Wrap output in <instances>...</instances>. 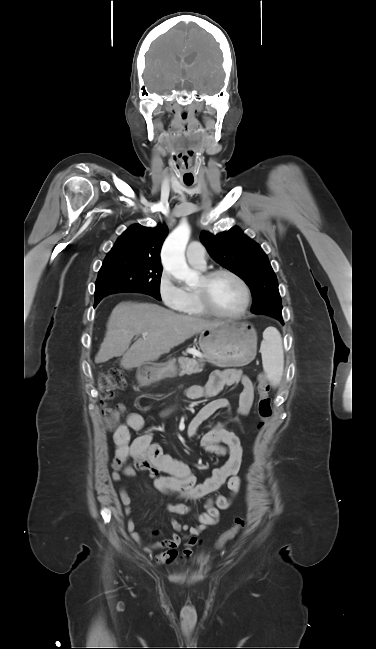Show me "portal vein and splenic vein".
<instances>
[{"mask_svg": "<svg viewBox=\"0 0 376 649\" xmlns=\"http://www.w3.org/2000/svg\"><path fill=\"white\" fill-rule=\"evenodd\" d=\"M146 335H147V333H143V336H146Z\"/></svg>", "mask_w": 376, "mask_h": 649, "instance_id": "obj_1", "label": "portal vein and splenic vein"}]
</instances>
